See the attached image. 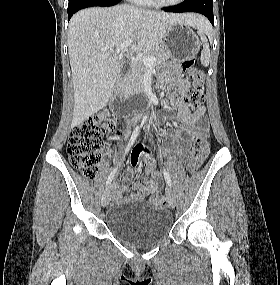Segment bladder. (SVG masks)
I'll use <instances>...</instances> for the list:
<instances>
[{
	"label": "bladder",
	"instance_id": "obj_1",
	"mask_svg": "<svg viewBox=\"0 0 280 285\" xmlns=\"http://www.w3.org/2000/svg\"><path fill=\"white\" fill-rule=\"evenodd\" d=\"M106 225L123 241L144 245L156 242L169 232L172 216L167 209L146 201H122L109 207Z\"/></svg>",
	"mask_w": 280,
	"mask_h": 285
}]
</instances>
